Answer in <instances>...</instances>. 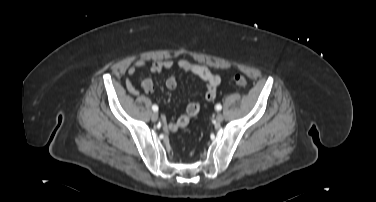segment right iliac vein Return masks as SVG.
Listing matches in <instances>:
<instances>
[{"instance_id":"obj_1","label":"right iliac vein","mask_w":376,"mask_h":202,"mask_svg":"<svg viewBox=\"0 0 376 202\" xmlns=\"http://www.w3.org/2000/svg\"><path fill=\"white\" fill-rule=\"evenodd\" d=\"M151 119H152V121H157L158 120V114L157 113H152V115H151Z\"/></svg>"}]
</instances>
